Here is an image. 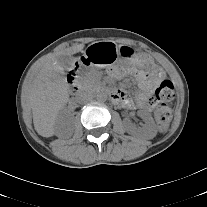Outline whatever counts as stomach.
I'll list each match as a JSON object with an SVG mask.
<instances>
[{"mask_svg": "<svg viewBox=\"0 0 207 207\" xmlns=\"http://www.w3.org/2000/svg\"><path fill=\"white\" fill-rule=\"evenodd\" d=\"M121 54L130 56L132 51L111 41H99L86 48L84 58L88 59L91 66L105 68L112 73L119 67Z\"/></svg>", "mask_w": 207, "mask_h": 207, "instance_id": "stomach-1", "label": "stomach"}]
</instances>
